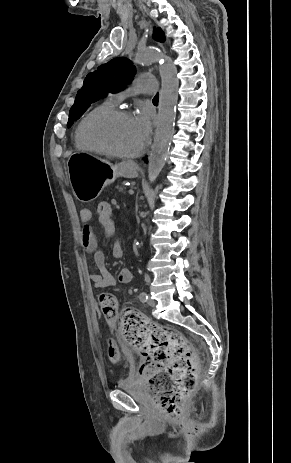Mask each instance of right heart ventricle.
I'll list each match as a JSON object with an SVG mask.
<instances>
[{"instance_id": "1", "label": "right heart ventricle", "mask_w": 291, "mask_h": 463, "mask_svg": "<svg viewBox=\"0 0 291 463\" xmlns=\"http://www.w3.org/2000/svg\"><path fill=\"white\" fill-rule=\"evenodd\" d=\"M114 102L112 100H105L91 109H89L78 121L74 131L75 145L80 150L92 151L93 149L85 142L83 138V128L86 122L93 116L101 114L113 109Z\"/></svg>"}]
</instances>
